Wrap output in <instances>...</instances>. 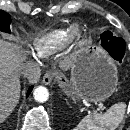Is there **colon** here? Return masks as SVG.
Returning <instances> with one entry per match:
<instances>
[{
	"instance_id": "1",
	"label": "colon",
	"mask_w": 130,
	"mask_h": 130,
	"mask_svg": "<svg viewBox=\"0 0 130 130\" xmlns=\"http://www.w3.org/2000/svg\"><path fill=\"white\" fill-rule=\"evenodd\" d=\"M101 45L117 61L121 62L124 56L125 44L121 38L114 36L110 32H104L101 36Z\"/></svg>"
}]
</instances>
